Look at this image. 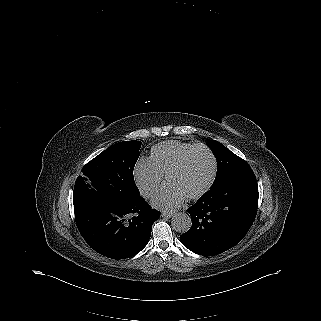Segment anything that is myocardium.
Segmentation results:
<instances>
[{"label": "myocardium", "mask_w": 321, "mask_h": 321, "mask_svg": "<svg viewBox=\"0 0 321 321\" xmlns=\"http://www.w3.org/2000/svg\"><path fill=\"white\" fill-rule=\"evenodd\" d=\"M198 151H205L207 154H209L211 161H212V173H211L209 179L207 180V182L203 186H201L200 188L196 189L195 191H192V192L181 191L185 197L190 198V199L197 198V197L201 196L202 194H204L207 190H209V188L212 186V184L214 183V181L216 179L217 161H216V158L210 148H208L207 146H204V145H198L193 150H191L187 154V156L180 163H178L170 171V173L166 176V182L168 183V185H170L172 187V185H174L173 184L174 178L176 176H178L183 170H186L188 168L189 163L191 162L193 156Z\"/></svg>", "instance_id": "myocardium-1"}]
</instances>
